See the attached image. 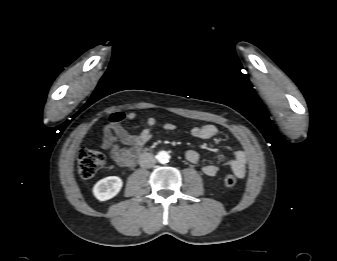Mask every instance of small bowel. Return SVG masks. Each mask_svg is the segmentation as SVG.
Returning a JSON list of instances; mask_svg holds the SVG:
<instances>
[{
  "instance_id": "small-bowel-1",
  "label": "small bowel",
  "mask_w": 337,
  "mask_h": 261,
  "mask_svg": "<svg viewBox=\"0 0 337 261\" xmlns=\"http://www.w3.org/2000/svg\"><path fill=\"white\" fill-rule=\"evenodd\" d=\"M135 112H116L110 115L109 123L104 129V137L102 147L109 151L111 158L120 166L132 167L136 163V157L144 145L149 142L157 128V121L153 117L146 119V127L138 134L129 133L123 126L122 122L132 121L136 119ZM163 131H173L176 125L165 123L159 126ZM218 133L214 125L208 124L200 127H193L190 130V135L198 139H210ZM122 144L115 143L113 138ZM186 160L191 164L198 163L200 155L195 150H188L185 153ZM228 165L234 175L238 178H243L246 174L247 157L243 150H238L234 153L233 158L228 160ZM219 171L216 164H207L203 166L202 172L209 177L215 176Z\"/></svg>"
}]
</instances>
